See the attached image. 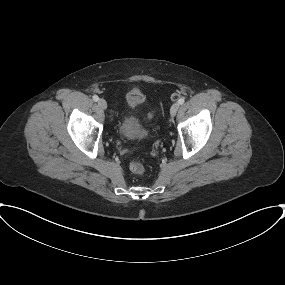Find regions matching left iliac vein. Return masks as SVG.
<instances>
[{"label": "left iliac vein", "mask_w": 285, "mask_h": 285, "mask_svg": "<svg viewBox=\"0 0 285 285\" xmlns=\"http://www.w3.org/2000/svg\"><path fill=\"white\" fill-rule=\"evenodd\" d=\"M179 109V103H174L170 108V115L174 117Z\"/></svg>", "instance_id": "left-iliac-vein-1"}]
</instances>
